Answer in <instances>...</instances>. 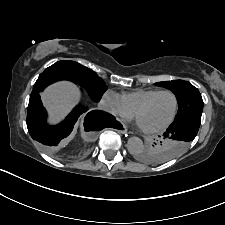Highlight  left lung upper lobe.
I'll list each match as a JSON object with an SVG mask.
<instances>
[{
	"label": "left lung upper lobe",
	"mask_w": 225,
	"mask_h": 225,
	"mask_svg": "<svg viewBox=\"0 0 225 225\" xmlns=\"http://www.w3.org/2000/svg\"><path fill=\"white\" fill-rule=\"evenodd\" d=\"M155 85L170 89L176 95L179 110L175 119L192 112L203 111L201 94L191 83L184 80H172L157 82ZM177 144L184 146L182 151L189 145L186 141L163 136L157 143L139 153L138 158L143 162L151 164L165 162L172 158V149Z\"/></svg>",
	"instance_id": "5c2ea615"
}]
</instances>
